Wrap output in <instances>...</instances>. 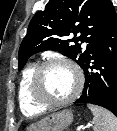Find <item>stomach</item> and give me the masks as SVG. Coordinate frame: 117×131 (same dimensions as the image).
I'll use <instances>...</instances> for the list:
<instances>
[{
  "label": "stomach",
  "mask_w": 117,
  "mask_h": 131,
  "mask_svg": "<svg viewBox=\"0 0 117 131\" xmlns=\"http://www.w3.org/2000/svg\"><path fill=\"white\" fill-rule=\"evenodd\" d=\"M72 121V111L62 110L31 124L26 129L27 131H64Z\"/></svg>",
  "instance_id": "1"
}]
</instances>
